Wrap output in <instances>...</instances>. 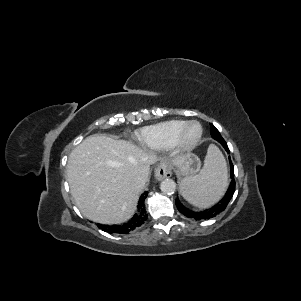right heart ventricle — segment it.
<instances>
[{
	"mask_svg": "<svg viewBox=\"0 0 301 301\" xmlns=\"http://www.w3.org/2000/svg\"><path fill=\"white\" fill-rule=\"evenodd\" d=\"M187 123L184 120H169L142 128L136 136L144 148L161 150L172 145L179 131Z\"/></svg>",
	"mask_w": 301,
	"mask_h": 301,
	"instance_id": "right-heart-ventricle-1",
	"label": "right heart ventricle"
}]
</instances>
